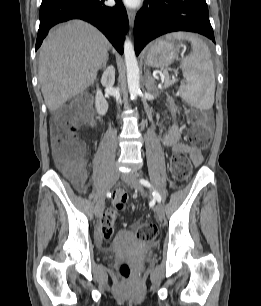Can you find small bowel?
Returning a JSON list of instances; mask_svg holds the SVG:
<instances>
[{"label":"small bowel","mask_w":261,"mask_h":306,"mask_svg":"<svg viewBox=\"0 0 261 306\" xmlns=\"http://www.w3.org/2000/svg\"><path fill=\"white\" fill-rule=\"evenodd\" d=\"M181 131L177 125L171 126L169 131L163 137V143L173 151L187 152L195 165H200L203 161V155L200 150L190 147L180 142Z\"/></svg>","instance_id":"c3829d8e"}]
</instances>
